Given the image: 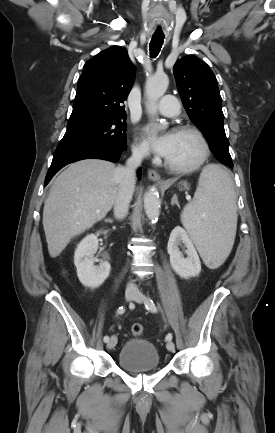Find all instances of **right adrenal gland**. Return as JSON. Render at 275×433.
Returning <instances> with one entry per match:
<instances>
[{
  "instance_id": "obj_1",
  "label": "right adrenal gland",
  "mask_w": 275,
  "mask_h": 433,
  "mask_svg": "<svg viewBox=\"0 0 275 433\" xmlns=\"http://www.w3.org/2000/svg\"><path fill=\"white\" fill-rule=\"evenodd\" d=\"M105 222L112 223L113 220L112 219H105Z\"/></svg>"
}]
</instances>
